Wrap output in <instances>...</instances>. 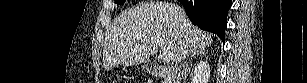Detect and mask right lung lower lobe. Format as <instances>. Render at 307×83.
Here are the masks:
<instances>
[{
  "mask_svg": "<svg viewBox=\"0 0 307 83\" xmlns=\"http://www.w3.org/2000/svg\"><path fill=\"white\" fill-rule=\"evenodd\" d=\"M186 14L200 29L216 33L225 39L227 14L232 0H180Z\"/></svg>",
  "mask_w": 307,
  "mask_h": 83,
  "instance_id": "right-lung-lower-lobe-1",
  "label": "right lung lower lobe"
}]
</instances>
